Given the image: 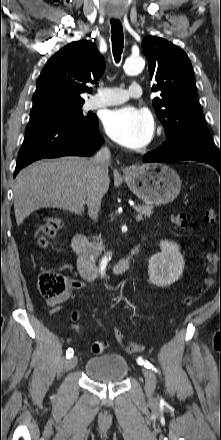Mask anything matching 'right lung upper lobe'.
I'll list each match as a JSON object with an SVG mask.
<instances>
[{"mask_svg":"<svg viewBox=\"0 0 221 440\" xmlns=\"http://www.w3.org/2000/svg\"><path fill=\"white\" fill-rule=\"evenodd\" d=\"M105 70V60L92 41L68 44L44 66L33 96L31 111L53 105L84 103L82 93H91L89 83H96Z\"/></svg>","mask_w":221,"mask_h":440,"instance_id":"cb5924a9","label":"right lung upper lobe"}]
</instances>
